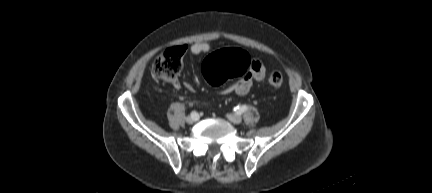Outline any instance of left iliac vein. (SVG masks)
<instances>
[{
	"instance_id": "left-iliac-vein-1",
	"label": "left iliac vein",
	"mask_w": 432,
	"mask_h": 193,
	"mask_svg": "<svg viewBox=\"0 0 432 193\" xmlns=\"http://www.w3.org/2000/svg\"><path fill=\"white\" fill-rule=\"evenodd\" d=\"M227 118L235 124H239L242 122V117L240 115H237V114H229V115H227Z\"/></svg>"
}]
</instances>
